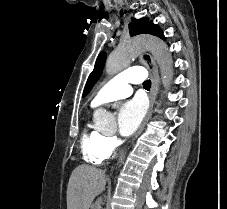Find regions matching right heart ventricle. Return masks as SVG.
<instances>
[{"instance_id": "right-heart-ventricle-1", "label": "right heart ventricle", "mask_w": 227, "mask_h": 209, "mask_svg": "<svg viewBox=\"0 0 227 209\" xmlns=\"http://www.w3.org/2000/svg\"><path fill=\"white\" fill-rule=\"evenodd\" d=\"M81 146L84 160L96 166L103 164L113 152L107 136L97 129L84 130Z\"/></svg>"}]
</instances>
